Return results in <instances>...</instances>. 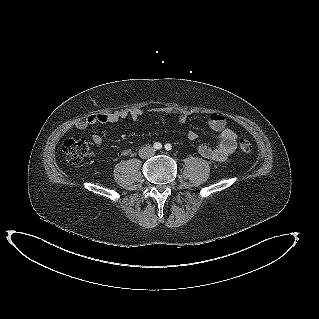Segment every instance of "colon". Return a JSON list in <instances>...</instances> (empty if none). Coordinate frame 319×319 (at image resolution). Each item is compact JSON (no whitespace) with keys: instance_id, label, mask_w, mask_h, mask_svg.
Returning a JSON list of instances; mask_svg holds the SVG:
<instances>
[{"instance_id":"obj_1","label":"colon","mask_w":319,"mask_h":319,"mask_svg":"<svg viewBox=\"0 0 319 319\" xmlns=\"http://www.w3.org/2000/svg\"><path fill=\"white\" fill-rule=\"evenodd\" d=\"M239 147L244 152H250L251 142L246 138H241ZM67 161L71 164H79L89 153L88 141L81 137H68L62 146Z\"/></svg>"}]
</instances>
